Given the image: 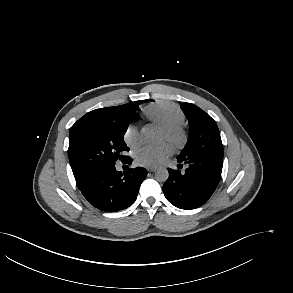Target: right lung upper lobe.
I'll return each instance as SVG.
<instances>
[{"label":"right lung upper lobe","instance_id":"obj_1","mask_svg":"<svg viewBox=\"0 0 293 293\" xmlns=\"http://www.w3.org/2000/svg\"><path fill=\"white\" fill-rule=\"evenodd\" d=\"M134 103H136V102L128 103V104L120 105V106H116V107L96 109V110H93V111L87 113L79 120H82V119L90 117V116L106 115V114L112 113L116 109H119V108L126 106V105H132ZM71 167H72V171H73V174H74V177H75V180H76V183H77V186L79 189L82 188L83 186H85L87 184V182L91 179V177L95 174V173H88V172L81 171L72 165H71Z\"/></svg>","mask_w":293,"mask_h":293}]
</instances>
